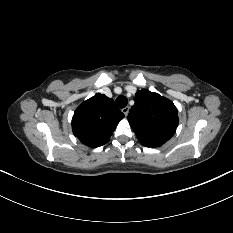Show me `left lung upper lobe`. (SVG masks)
<instances>
[{"label": "left lung upper lobe", "instance_id": "left-lung-upper-lobe-1", "mask_svg": "<svg viewBox=\"0 0 233 233\" xmlns=\"http://www.w3.org/2000/svg\"><path fill=\"white\" fill-rule=\"evenodd\" d=\"M178 111L169 99L143 89L136 93L128 121L146 147H159L168 141L178 126Z\"/></svg>", "mask_w": 233, "mask_h": 233}]
</instances>
